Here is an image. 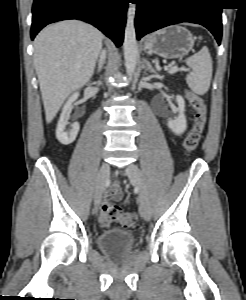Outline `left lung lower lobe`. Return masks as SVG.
I'll use <instances>...</instances> for the list:
<instances>
[{"instance_id":"0a47b994","label":"left lung lower lobe","mask_w":246,"mask_h":300,"mask_svg":"<svg viewBox=\"0 0 246 300\" xmlns=\"http://www.w3.org/2000/svg\"><path fill=\"white\" fill-rule=\"evenodd\" d=\"M137 39L168 25L191 22L211 31L218 44L222 37V7L218 0H136Z\"/></svg>"}]
</instances>
